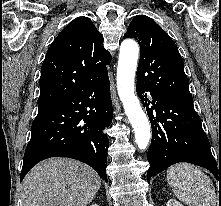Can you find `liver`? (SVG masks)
I'll return each instance as SVG.
<instances>
[{
    "label": "liver",
    "mask_w": 221,
    "mask_h": 206,
    "mask_svg": "<svg viewBox=\"0 0 221 206\" xmlns=\"http://www.w3.org/2000/svg\"><path fill=\"white\" fill-rule=\"evenodd\" d=\"M101 186L88 165L67 158L38 163L23 180V206H87Z\"/></svg>",
    "instance_id": "1"
}]
</instances>
